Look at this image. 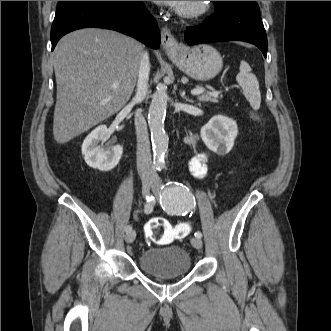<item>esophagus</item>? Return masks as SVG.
Listing matches in <instances>:
<instances>
[{
    "label": "esophagus",
    "mask_w": 331,
    "mask_h": 331,
    "mask_svg": "<svg viewBox=\"0 0 331 331\" xmlns=\"http://www.w3.org/2000/svg\"><path fill=\"white\" fill-rule=\"evenodd\" d=\"M161 43L167 54L176 53L181 47L167 27L161 29Z\"/></svg>",
    "instance_id": "esophagus-1"
}]
</instances>
